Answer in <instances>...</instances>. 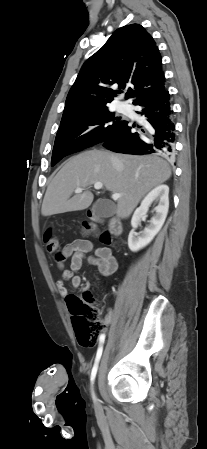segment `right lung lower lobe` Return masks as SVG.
I'll return each instance as SVG.
<instances>
[{"label": "right lung lower lobe", "mask_w": 207, "mask_h": 449, "mask_svg": "<svg viewBox=\"0 0 207 449\" xmlns=\"http://www.w3.org/2000/svg\"><path fill=\"white\" fill-rule=\"evenodd\" d=\"M133 104L141 107L138 113L145 117V125L137 126L139 132H133L129 123L123 121L103 145L119 153L139 155L158 153L167 157L172 156L175 124L169 92L164 90L157 95L137 100Z\"/></svg>", "instance_id": "obj_1"}]
</instances>
